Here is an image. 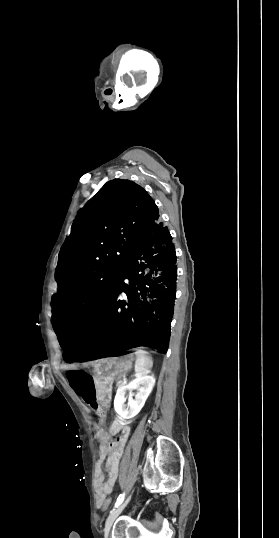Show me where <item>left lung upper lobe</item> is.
<instances>
[{
	"label": "left lung upper lobe",
	"mask_w": 279,
	"mask_h": 538,
	"mask_svg": "<svg viewBox=\"0 0 279 538\" xmlns=\"http://www.w3.org/2000/svg\"><path fill=\"white\" fill-rule=\"evenodd\" d=\"M158 218L148 193L121 179L107 182L80 210L59 252L58 292L51 304L57 336L90 331L128 257Z\"/></svg>",
	"instance_id": "1"
}]
</instances>
